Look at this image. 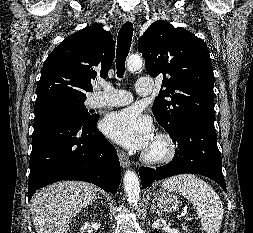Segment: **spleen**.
<instances>
[{"label":"spleen","mask_w":253,"mask_h":233,"mask_svg":"<svg viewBox=\"0 0 253 233\" xmlns=\"http://www.w3.org/2000/svg\"><path fill=\"white\" fill-rule=\"evenodd\" d=\"M163 188L171 192H179L201 214V224L206 233H219L222 218L223 204L219 195L205 181L193 174H182L167 179Z\"/></svg>","instance_id":"3e777b00"}]
</instances>
